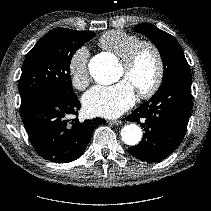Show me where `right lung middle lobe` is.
Wrapping results in <instances>:
<instances>
[{
	"mask_svg": "<svg viewBox=\"0 0 211 211\" xmlns=\"http://www.w3.org/2000/svg\"><path fill=\"white\" fill-rule=\"evenodd\" d=\"M94 32L56 28L42 37L27 53L19 80L21 102L39 94L63 98L75 96L71 77L72 56Z\"/></svg>",
	"mask_w": 211,
	"mask_h": 211,
	"instance_id": "obj_1",
	"label": "right lung middle lobe"
}]
</instances>
